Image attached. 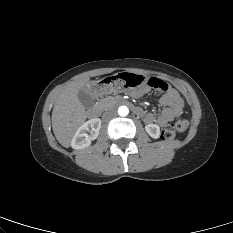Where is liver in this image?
Instances as JSON below:
<instances>
[{"label":"liver","instance_id":"obj_1","mask_svg":"<svg viewBox=\"0 0 233 233\" xmlns=\"http://www.w3.org/2000/svg\"><path fill=\"white\" fill-rule=\"evenodd\" d=\"M92 82L88 77L69 83L59 94L52 111V129L58 142L69 147L76 130L86 120V110L78 99V92L85 89L91 95Z\"/></svg>","mask_w":233,"mask_h":233}]
</instances>
